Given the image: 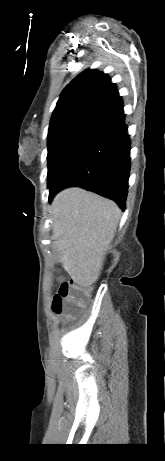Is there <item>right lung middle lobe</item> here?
<instances>
[{
  "label": "right lung middle lobe",
  "instance_id": "1",
  "mask_svg": "<svg viewBox=\"0 0 165 461\" xmlns=\"http://www.w3.org/2000/svg\"><path fill=\"white\" fill-rule=\"evenodd\" d=\"M106 121L93 115L56 119L48 131V186L83 143Z\"/></svg>",
  "mask_w": 165,
  "mask_h": 461
}]
</instances>
